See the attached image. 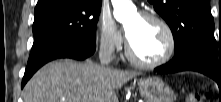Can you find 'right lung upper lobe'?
I'll return each mask as SVG.
<instances>
[{"instance_id": "1", "label": "right lung upper lobe", "mask_w": 221, "mask_h": 102, "mask_svg": "<svg viewBox=\"0 0 221 102\" xmlns=\"http://www.w3.org/2000/svg\"><path fill=\"white\" fill-rule=\"evenodd\" d=\"M48 0H38V3L37 4H41V3H44ZM86 1H90V2H102V0H86Z\"/></svg>"}]
</instances>
